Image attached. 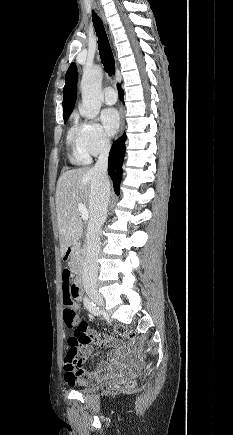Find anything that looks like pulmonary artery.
<instances>
[{
    "label": "pulmonary artery",
    "instance_id": "e3ab8cb5",
    "mask_svg": "<svg viewBox=\"0 0 233 435\" xmlns=\"http://www.w3.org/2000/svg\"><path fill=\"white\" fill-rule=\"evenodd\" d=\"M104 101L106 104L112 105L116 102L117 96L113 88L106 87L103 91Z\"/></svg>",
    "mask_w": 233,
    "mask_h": 435
}]
</instances>
